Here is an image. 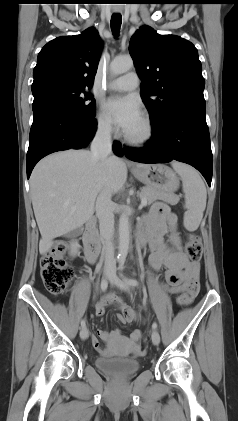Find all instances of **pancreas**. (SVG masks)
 Returning <instances> with one entry per match:
<instances>
[{
  "label": "pancreas",
  "instance_id": "obj_1",
  "mask_svg": "<svg viewBox=\"0 0 238 421\" xmlns=\"http://www.w3.org/2000/svg\"><path fill=\"white\" fill-rule=\"evenodd\" d=\"M139 197L141 200L145 198L148 205L152 204L156 200H162L169 204H175V201L177 200V198L171 194L151 187L142 188Z\"/></svg>",
  "mask_w": 238,
  "mask_h": 421
}]
</instances>
